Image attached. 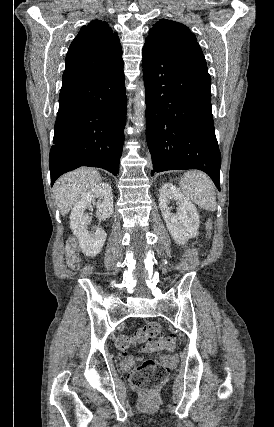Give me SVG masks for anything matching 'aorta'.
I'll list each match as a JSON object with an SVG mask.
<instances>
[{"label": "aorta", "mask_w": 274, "mask_h": 427, "mask_svg": "<svg viewBox=\"0 0 274 427\" xmlns=\"http://www.w3.org/2000/svg\"><path fill=\"white\" fill-rule=\"evenodd\" d=\"M146 110V102H145V86L143 81L139 82V86L135 95V119L134 124L137 131H141L145 120L144 114Z\"/></svg>", "instance_id": "aorta-1"}]
</instances>
